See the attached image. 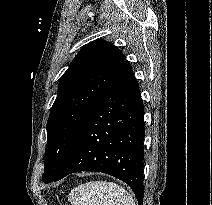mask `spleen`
<instances>
[{"label": "spleen", "mask_w": 212, "mask_h": 205, "mask_svg": "<svg viewBox=\"0 0 212 205\" xmlns=\"http://www.w3.org/2000/svg\"><path fill=\"white\" fill-rule=\"evenodd\" d=\"M72 205H136L122 186L109 181H91L74 188L68 196Z\"/></svg>", "instance_id": "spleen-1"}]
</instances>
